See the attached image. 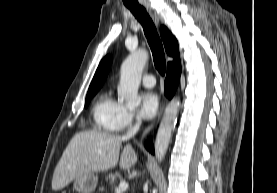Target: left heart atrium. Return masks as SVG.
I'll return each mask as SVG.
<instances>
[{
  "label": "left heart atrium",
  "mask_w": 277,
  "mask_h": 193,
  "mask_svg": "<svg viewBox=\"0 0 277 193\" xmlns=\"http://www.w3.org/2000/svg\"><path fill=\"white\" fill-rule=\"evenodd\" d=\"M159 109V98L151 91H147L140 96V112L146 119L153 118Z\"/></svg>",
  "instance_id": "left-heart-atrium-1"
}]
</instances>
